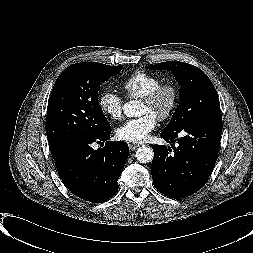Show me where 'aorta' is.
Here are the masks:
<instances>
[{"label": "aorta", "mask_w": 253, "mask_h": 253, "mask_svg": "<svg viewBox=\"0 0 253 253\" xmlns=\"http://www.w3.org/2000/svg\"><path fill=\"white\" fill-rule=\"evenodd\" d=\"M139 101H130L123 106L124 114L128 117L137 116L139 113ZM154 152L149 146H141L137 149L135 157L140 163H149L153 160Z\"/></svg>", "instance_id": "1"}]
</instances>
